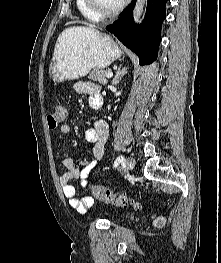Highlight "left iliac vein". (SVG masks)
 I'll return each mask as SVG.
<instances>
[{"mask_svg":"<svg viewBox=\"0 0 221 263\" xmlns=\"http://www.w3.org/2000/svg\"><path fill=\"white\" fill-rule=\"evenodd\" d=\"M126 167L128 170H133L135 167V159L132 157H128L126 160Z\"/></svg>","mask_w":221,"mask_h":263,"instance_id":"1","label":"left iliac vein"}]
</instances>
